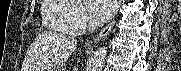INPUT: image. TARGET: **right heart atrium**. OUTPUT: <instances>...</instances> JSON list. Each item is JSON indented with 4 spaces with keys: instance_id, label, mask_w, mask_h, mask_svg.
Here are the masks:
<instances>
[{
    "instance_id": "d8ad5b80",
    "label": "right heart atrium",
    "mask_w": 181,
    "mask_h": 71,
    "mask_svg": "<svg viewBox=\"0 0 181 71\" xmlns=\"http://www.w3.org/2000/svg\"><path fill=\"white\" fill-rule=\"evenodd\" d=\"M71 4L72 9L68 13V22L74 34L85 32L90 28L92 21L79 0H63Z\"/></svg>"
}]
</instances>
